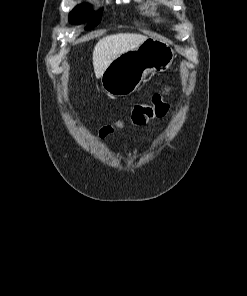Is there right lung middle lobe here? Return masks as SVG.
I'll return each mask as SVG.
<instances>
[{"label":"right lung middle lobe","instance_id":"1","mask_svg":"<svg viewBox=\"0 0 247 296\" xmlns=\"http://www.w3.org/2000/svg\"><path fill=\"white\" fill-rule=\"evenodd\" d=\"M91 6L88 4H82L74 8V10L70 13L69 21L73 24H80L84 17L90 13ZM101 12H97L94 14L93 19L90 21L89 25L86 29H91L96 26L101 21Z\"/></svg>","mask_w":247,"mask_h":296}]
</instances>
